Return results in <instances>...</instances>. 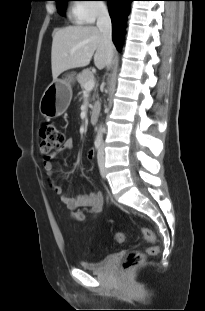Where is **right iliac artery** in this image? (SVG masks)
Segmentation results:
<instances>
[{
    "label": "right iliac artery",
    "instance_id": "1",
    "mask_svg": "<svg viewBox=\"0 0 205 311\" xmlns=\"http://www.w3.org/2000/svg\"><path fill=\"white\" fill-rule=\"evenodd\" d=\"M94 145H95L96 150L99 152L100 146H101V142L100 141H95Z\"/></svg>",
    "mask_w": 205,
    "mask_h": 311
}]
</instances>
